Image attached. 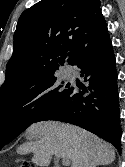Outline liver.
<instances>
[{"label": "liver", "mask_w": 125, "mask_h": 167, "mask_svg": "<svg viewBox=\"0 0 125 167\" xmlns=\"http://www.w3.org/2000/svg\"><path fill=\"white\" fill-rule=\"evenodd\" d=\"M26 134L36 140L20 145L17 153H33L32 162L41 167L49 166L53 155L68 158L71 167H96L115 160L111 144L74 125L56 121L38 122L32 124Z\"/></svg>", "instance_id": "1"}]
</instances>
